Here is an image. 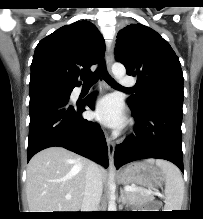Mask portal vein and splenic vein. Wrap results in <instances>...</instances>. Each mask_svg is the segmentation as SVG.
<instances>
[{
	"label": "portal vein and splenic vein",
	"mask_w": 203,
	"mask_h": 219,
	"mask_svg": "<svg viewBox=\"0 0 203 219\" xmlns=\"http://www.w3.org/2000/svg\"><path fill=\"white\" fill-rule=\"evenodd\" d=\"M124 190H125V191H136V190H138V189L135 188V187H131V186H125V187H124ZM144 192L152 193V191H150V190H145ZM65 198H66V199H71V196H70V195H66Z\"/></svg>",
	"instance_id": "18ae733b"
}]
</instances>
